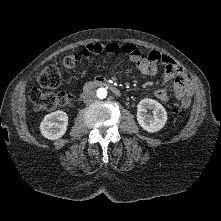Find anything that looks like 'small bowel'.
Wrapping results in <instances>:
<instances>
[{"mask_svg": "<svg viewBox=\"0 0 221 221\" xmlns=\"http://www.w3.org/2000/svg\"><path fill=\"white\" fill-rule=\"evenodd\" d=\"M121 53L128 56L135 69L141 74L153 76L158 71L160 64L164 65V78L162 87L155 90L154 94L162 102L169 101L166 85L174 82L173 92L177 99H190L193 94L192 84L183 69L169 56L158 51L142 54L137 46L130 43H88L81 48V55L85 58L93 54Z\"/></svg>", "mask_w": 221, "mask_h": 221, "instance_id": "obj_1", "label": "small bowel"}]
</instances>
